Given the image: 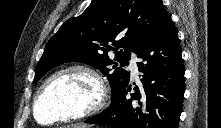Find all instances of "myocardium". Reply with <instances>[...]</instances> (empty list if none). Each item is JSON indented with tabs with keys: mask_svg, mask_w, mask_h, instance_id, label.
<instances>
[{
	"mask_svg": "<svg viewBox=\"0 0 221 128\" xmlns=\"http://www.w3.org/2000/svg\"><path fill=\"white\" fill-rule=\"evenodd\" d=\"M66 73H78V74H81V75L87 77L88 79H90V81L92 82V85H93L92 98L85 105V107L82 110H80L78 112H70V113L64 114L62 116H58L49 122L42 123L41 121H39V119L37 117L38 103H39L45 89L47 88V86L54 79H56L57 77H59L62 74H66ZM106 98H107V90H106V86H105V83H104L101 75L95 69H93L92 67H90L88 65L73 64V65H69V66L63 67V68L55 71L54 73L49 75L43 81V83L40 85V87L37 90L36 95L34 97L33 116L38 123L43 124V125H47V126H51V125H55V124H59V123L71 122V121H75L78 119H82V118L89 116V115H93V114L97 113L98 111H100L106 102Z\"/></svg>",
	"mask_w": 221,
	"mask_h": 128,
	"instance_id": "myocardium-1",
	"label": "myocardium"
}]
</instances>
